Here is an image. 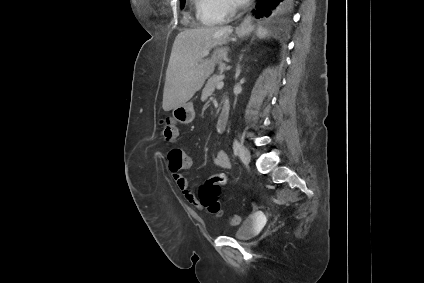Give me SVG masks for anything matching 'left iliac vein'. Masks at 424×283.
Wrapping results in <instances>:
<instances>
[{
	"label": "left iliac vein",
	"mask_w": 424,
	"mask_h": 283,
	"mask_svg": "<svg viewBox=\"0 0 424 283\" xmlns=\"http://www.w3.org/2000/svg\"><path fill=\"white\" fill-rule=\"evenodd\" d=\"M239 157L244 164L250 162V152L245 146H241L239 149Z\"/></svg>",
	"instance_id": "1"
}]
</instances>
